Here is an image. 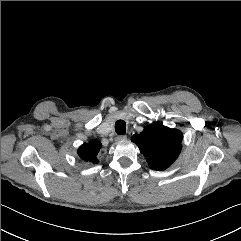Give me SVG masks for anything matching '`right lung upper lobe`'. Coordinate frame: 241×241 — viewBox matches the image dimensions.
<instances>
[{"label":"right lung upper lobe","mask_w":241,"mask_h":241,"mask_svg":"<svg viewBox=\"0 0 241 241\" xmlns=\"http://www.w3.org/2000/svg\"><path fill=\"white\" fill-rule=\"evenodd\" d=\"M102 144L99 141L92 140L85 143L78 149V155L85 161L98 163L97 154L100 151Z\"/></svg>","instance_id":"1"}]
</instances>
